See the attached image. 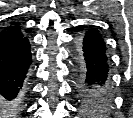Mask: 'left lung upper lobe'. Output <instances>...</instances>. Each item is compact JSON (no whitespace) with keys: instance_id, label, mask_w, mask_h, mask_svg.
<instances>
[{"instance_id":"obj_1","label":"left lung upper lobe","mask_w":133,"mask_h":118,"mask_svg":"<svg viewBox=\"0 0 133 118\" xmlns=\"http://www.w3.org/2000/svg\"><path fill=\"white\" fill-rule=\"evenodd\" d=\"M78 94L83 111L89 114L100 113L106 110L112 101L108 97L98 96L83 87L79 88Z\"/></svg>"}]
</instances>
